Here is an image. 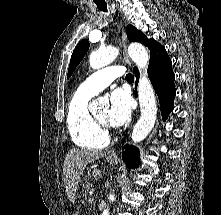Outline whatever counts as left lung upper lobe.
<instances>
[{
	"label": "left lung upper lobe",
	"instance_id": "5c2ea615",
	"mask_svg": "<svg viewBox=\"0 0 221 215\" xmlns=\"http://www.w3.org/2000/svg\"><path fill=\"white\" fill-rule=\"evenodd\" d=\"M127 37L132 42H140L147 46L151 53L150 56L160 46L157 41H154L153 39H147V37L141 31L137 30L132 25L127 26ZM88 48V40L85 39L78 43L71 56L67 78L72 75L77 65L84 58L86 52L88 51Z\"/></svg>",
	"mask_w": 221,
	"mask_h": 215
}]
</instances>
